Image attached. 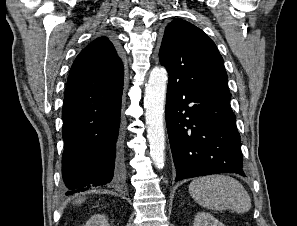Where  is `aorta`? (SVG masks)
Instances as JSON below:
<instances>
[{
	"mask_svg": "<svg viewBox=\"0 0 297 226\" xmlns=\"http://www.w3.org/2000/svg\"><path fill=\"white\" fill-rule=\"evenodd\" d=\"M166 84V70L162 67H155L150 72L149 80L145 85L144 108L146 110L147 139L152 160L158 169L164 167L165 161L163 114Z\"/></svg>",
	"mask_w": 297,
	"mask_h": 226,
	"instance_id": "aorta-1",
	"label": "aorta"
}]
</instances>
